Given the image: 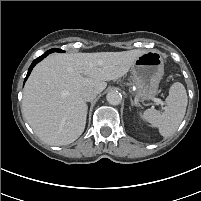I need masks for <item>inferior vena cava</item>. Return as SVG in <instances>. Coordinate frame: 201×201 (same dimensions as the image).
Masks as SVG:
<instances>
[{
    "instance_id": "1",
    "label": "inferior vena cava",
    "mask_w": 201,
    "mask_h": 201,
    "mask_svg": "<svg viewBox=\"0 0 201 201\" xmlns=\"http://www.w3.org/2000/svg\"><path fill=\"white\" fill-rule=\"evenodd\" d=\"M80 94L83 100L88 102L92 101L97 95L96 91L92 88H85L81 91Z\"/></svg>"
}]
</instances>
